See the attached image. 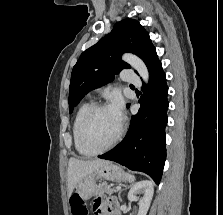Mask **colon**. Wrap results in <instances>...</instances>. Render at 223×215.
Segmentation results:
<instances>
[{
  "label": "colon",
  "instance_id": "5ec220e1",
  "mask_svg": "<svg viewBox=\"0 0 223 215\" xmlns=\"http://www.w3.org/2000/svg\"><path fill=\"white\" fill-rule=\"evenodd\" d=\"M70 205L72 215H87L86 206L79 195L74 194L71 197Z\"/></svg>",
  "mask_w": 223,
  "mask_h": 215
}]
</instances>
